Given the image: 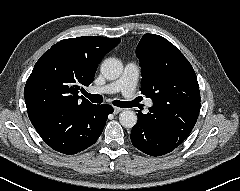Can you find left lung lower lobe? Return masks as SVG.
Wrapping results in <instances>:
<instances>
[{"label":"left lung lower lobe","instance_id":"1","mask_svg":"<svg viewBox=\"0 0 240 191\" xmlns=\"http://www.w3.org/2000/svg\"><path fill=\"white\" fill-rule=\"evenodd\" d=\"M175 117H160L138 110V122L132 128V144L142 152L160 156L177 148L192 131L198 115L194 111L182 112Z\"/></svg>","mask_w":240,"mask_h":191}]
</instances>
